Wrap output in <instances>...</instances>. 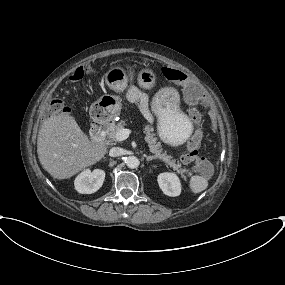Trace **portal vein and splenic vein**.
<instances>
[{
    "instance_id": "obj_1",
    "label": "portal vein and splenic vein",
    "mask_w": 285,
    "mask_h": 285,
    "mask_svg": "<svg viewBox=\"0 0 285 285\" xmlns=\"http://www.w3.org/2000/svg\"><path fill=\"white\" fill-rule=\"evenodd\" d=\"M131 133L130 129H120L117 133H116V140L117 141H123L126 140L129 137V134Z\"/></svg>"
}]
</instances>
